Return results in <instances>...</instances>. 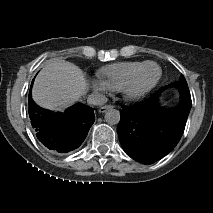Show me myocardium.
<instances>
[{"instance_id": "1", "label": "myocardium", "mask_w": 213, "mask_h": 213, "mask_svg": "<svg viewBox=\"0 0 213 213\" xmlns=\"http://www.w3.org/2000/svg\"><path fill=\"white\" fill-rule=\"evenodd\" d=\"M149 65L154 66L157 69L156 78L154 81L144 89L134 90L133 87L140 75V73ZM161 69L160 67L152 61L144 62L138 69H136L133 74L123 83L121 89L119 90L121 96L126 101H136L144 96H146L151 90H153L161 78Z\"/></svg>"}]
</instances>
